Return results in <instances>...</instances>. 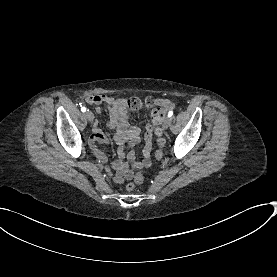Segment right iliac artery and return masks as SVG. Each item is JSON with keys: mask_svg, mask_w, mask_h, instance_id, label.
Segmentation results:
<instances>
[{"mask_svg": "<svg viewBox=\"0 0 277 277\" xmlns=\"http://www.w3.org/2000/svg\"><path fill=\"white\" fill-rule=\"evenodd\" d=\"M81 111H82V112H85V111H86V107H85V106H82V107H81Z\"/></svg>", "mask_w": 277, "mask_h": 277, "instance_id": "right-iliac-artery-1", "label": "right iliac artery"}]
</instances>
